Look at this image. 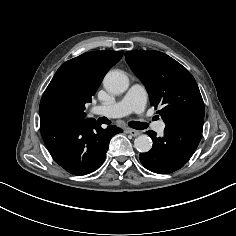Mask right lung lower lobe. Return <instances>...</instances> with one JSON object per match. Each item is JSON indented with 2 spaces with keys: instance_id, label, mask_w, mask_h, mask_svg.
<instances>
[{
  "instance_id": "obj_1",
  "label": "right lung lower lobe",
  "mask_w": 236,
  "mask_h": 236,
  "mask_svg": "<svg viewBox=\"0 0 236 236\" xmlns=\"http://www.w3.org/2000/svg\"><path fill=\"white\" fill-rule=\"evenodd\" d=\"M40 130L54 161L74 175L98 169L105 160L111 137L122 133L111 125L102 129L93 118L75 120L56 110L40 115Z\"/></svg>"
}]
</instances>
